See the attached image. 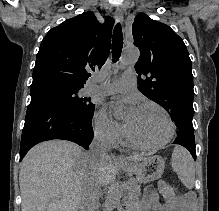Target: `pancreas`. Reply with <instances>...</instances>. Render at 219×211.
<instances>
[{
    "mask_svg": "<svg viewBox=\"0 0 219 211\" xmlns=\"http://www.w3.org/2000/svg\"><path fill=\"white\" fill-rule=\"evenodd\" d=\"M132 189H137L138 192L140 187H132ZM127 211H138V207H141V198H138L137 195H127Z\"/></svg>",
    "mask_w": 219,
    "mask_h": 211,
    "instance_id": "cf45deb5",
    "label": "pancreas"
}]
</instances>
